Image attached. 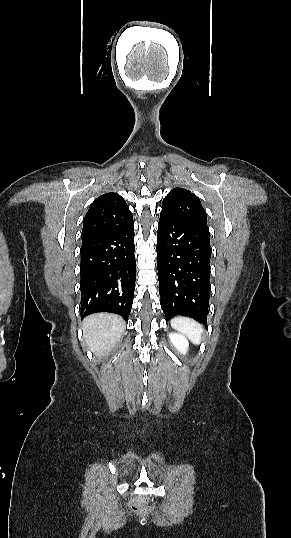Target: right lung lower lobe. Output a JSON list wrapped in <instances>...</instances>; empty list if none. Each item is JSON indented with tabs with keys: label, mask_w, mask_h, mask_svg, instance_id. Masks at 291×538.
Here are the masks:
<instances>
[{
	"label": "right lung lower lobe",
	"mask_w": 291,
	"mask_h": 538,
	"mask_svg": "<svg viewBox=\"0 0 291 538\" xmlns=\"http://www.w3.org/2000/svg\"><path fill=\"white\" fill-rule=\"evenodd\" d=\"M133 221L82 241L81 316L110 312L127 319L132 308L136 261Z\"/></svg>",
	"instance_id": "1"
}]
</instances>
